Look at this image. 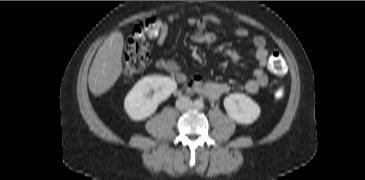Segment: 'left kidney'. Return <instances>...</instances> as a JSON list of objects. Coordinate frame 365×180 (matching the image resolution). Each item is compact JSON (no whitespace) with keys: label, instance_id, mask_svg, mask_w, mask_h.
I'll return each instance as SVG.
<instances>
[{"label":"left kidney","instance_id":"obj_1","mask_svg":"<svg viewBox=\"0 0 365 180\" xmlns=\"http://www.w3.org/2000/svg\"><path fill=\"white\" fill-rule=\"evenodd\" d=\"M224 107L230 118L241 124H251L260 116L259 105L244 94H231L224 99Z\"/></svg>","mask_w":365,"mask_h":180}]
</instances>
